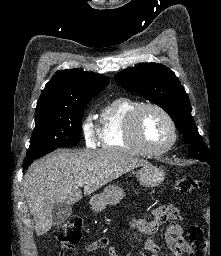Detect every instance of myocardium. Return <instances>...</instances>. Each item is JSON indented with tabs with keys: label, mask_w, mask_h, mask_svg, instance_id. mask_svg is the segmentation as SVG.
I'll list each match as a JSON object with an SVG mask.
<instances>
[{
	"label": "myocardium",
	"mask_w": 221,
	"mask_h": 256,
	"mask_svg": "<svg viewBox=\"0 0 221 256\" xmlns=\"http://www.w3.org/2000/svg\"><path fill=\"white\" fill-rule=\"evenodd\" d=\"M147 108H153L159 111L166 118L169 124L171 130V138L169 142L161 148H151L147 146L142 139L140 132V118L143 111ZM126 137L128 141L141 152V154L149 156H159L167 153L169 150L172 149V147L177 142L178 131L172 115L163 106L154 102H147L141 103L139 106H137L128 117L126 125Z\"/></svg>",
	"instance_id": "myocardium-1"
}]
</instances>
